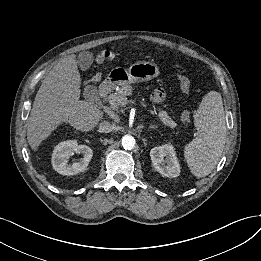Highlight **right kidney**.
I'll list each match as a JSON object with an SVG mask.
<instances>
[{
    "label": "right kidney",
    "mask_w": 261,
    "mask_h": 261,
    "mask_svg": "<svg viewBox=\"0 0 261 261\" xmlns=\"http://www.w3.org/2000/svg\"><path fill=\"white\" fill-rule=\"evenodd\" d=\"M74 153L82 154L78 162L68 164L69 156ZM93 156L92 149L87 145H78L76 140L60 142L52 154V166L59 174L70 176L83 172Z\"/></svg>",
    "instance_id": "obj_1"
}]
</instances>
